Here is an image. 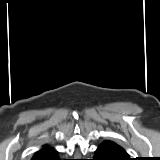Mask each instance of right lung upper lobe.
Here are the masks:
<instances>
[{"label":"right lung upper lobe","mask_w":160,"mask_h":160,"mask_svg":"<svg viewBox=\"0 0 160 160\" xmlns=\"http://www.w3.org/2000/svg\"><path fill=\"white\" fill-rule=\"evenodd\" d=\"M46 149H48V146H47V145H46V146H43L42 149H40L39 151H37L35 154H37V153H39V152H42V151H44V150H46Z\"/></svg>","instance_id":"cb5924a9"}]
</instances>
